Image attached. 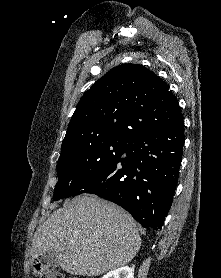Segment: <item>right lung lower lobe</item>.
Instances as JSON below:
<instances>
[{"mask_svg":"<svg viewBox=\"0 0 221 278\" xmlns=\"http://www.w3.org/2000/svg\"><path fill=\"white\" fill-rule=\"evenodd\" d=\"M184 121L132 137L117 161L72 196L96 194L126 209L143 227L162 228L176 189Z\"/></svg>","mask_w":221,"mask_h":278,"instance_id":"98d812e1","label":"right lung lower lobe"}]
</instances>
